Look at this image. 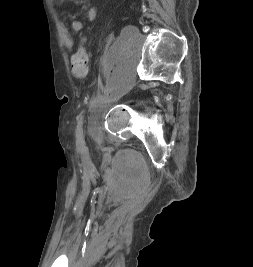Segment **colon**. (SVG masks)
I'll list each match as a JSON object with an SVG mask.
<instances>
[{"label":"colon","instance_id":"colon-1","mask_svg":"<svg viewBox=\"0 0 253 267\" xmlns=\"http://www.w3.org/2000/svg\"><path fill=\"white\" fill-rule=\"evenodd\" d=\"M72 73L77 78H83L88 72V55L81 45L71 58Z\"/></svg>","mask_w":253,"mask_h":267}]
</instances>
